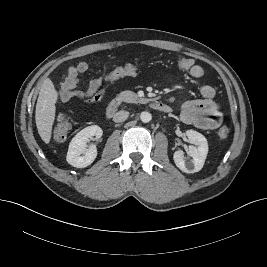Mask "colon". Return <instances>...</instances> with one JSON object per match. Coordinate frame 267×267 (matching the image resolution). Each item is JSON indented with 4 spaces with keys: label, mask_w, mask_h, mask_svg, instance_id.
<instances>
[{
    "label": "colon",
    "mask_w": 267,
    "mask_h": 267,
    "mask_svg": "<svg viewBox=\"0 0 267 267\" xmlns=\"http://www.w3.org/2000/svg\"><path fill=\"white\" fill-rule=\"evenodd\" d=\"M193 66V61L188 58H182L178 60L177 67L181 71H188ZM141 71V67L128 63L122 66H118L110 72L106 73L104 76L105 83H112L116 80L134 77ZM72 128V117L70 114L61 115L53 127L52 136L56 141H62L67 138L70 130ZM228 136V128L222 126L218 131V137L220 139H226Z\"/></svg>",
    "instance_id": "5ec220e1"
}]
</instances>
